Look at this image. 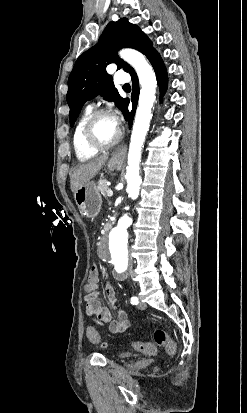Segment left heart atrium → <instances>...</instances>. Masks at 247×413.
<instances>
[{
  "label": "left heart atrium",
  "mask_w": 247,
  "mask_h": 413,
  "mask_svg": "<svg viewBox=\"0 0 247 413\" xmlns=\"http://www.w3.org/2000/svg\"><path fill=\"white\" fill-rule=\"evenodd\" d=\"M106 120L110 127L119 130L120 122H121V114L118 110H114L111 113H108L106 116Z\"/></svg>",
  "instance_id": "obj_1"
}]
</instances>
